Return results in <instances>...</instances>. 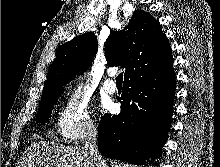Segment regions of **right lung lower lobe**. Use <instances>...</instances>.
<instances>
[{
    "label": "right lung lower lobe",
    "instance_id": "98d812e1",
    "mask_svg": "<svg viewBox=\"0 0 220 167\" xmlns=\"http://www.w3.org/2000/svg\"><path fill=\"white\" fill-rule=\"evenodd\" d=\"M172 63L125 78L118 98L121 112L105 114L99 123L98 149L102 155L131 164L160 156L172 122L176 88Z\"/></svg>",
    "mask_w": 220,
    "mask_h": 167
}]
</instances>
